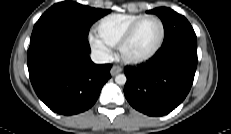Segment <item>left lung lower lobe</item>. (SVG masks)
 Instances as JSON below:
<instances>
[{"instance_id":"0a47b994","label":"left lung lower lobe","mask_w":231,"mask_h":134,"mask_svg":"<svg viewBox=\"0 0 231 134\" xmlns=\"http://www.w3.org/2000/svg\"><path fill=\"white\" fill-rule=\"evenodd\" d=\"M197 61L196 37L162 45L153 60L125 68L126 99L136 110L149 116L170 113L190 91Z\"/></svg>"}]
</instances>
